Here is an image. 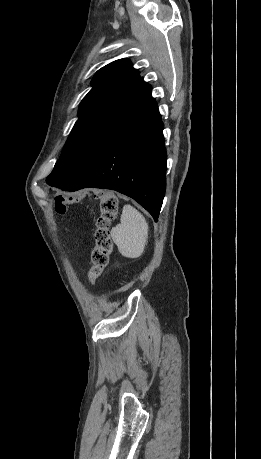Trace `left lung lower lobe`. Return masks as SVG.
I'll use <instances>...</instances> for the list:
<instances>
[{"mask_svg": "<svg viewBox=\"0 0 261 459\" xmlns=\"http://www.w3.org/2000/svg\"><path fill=\"white\" fill-rule=\"evenodd\" d=\"M155 99L148 100L84 165L57 187L76 191L116 190L142 205L158 220L166 189V150Z\"/></svg>", "mask_w": 261, "mask_h": 459, "instance_id": "obj_1", "label": "left lung lower lobe"}]
</instances>
